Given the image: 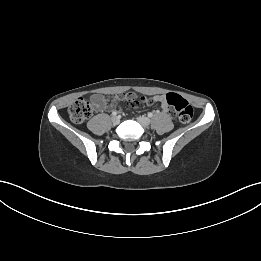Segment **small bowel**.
<instances>
[{
	"instance_id": "obj_1",
	"label": "small bowel",
	"mask_w": 261,
	"mask_h": 261,
	"mask_svg": "<svg viewBox=\"0 0 261 261\" xmlns=\"http://www.w3.org/2000/svg\"><path fill=\"white\" fill-rule=\"evenodd\" d=\"M125 100H126V102L130 103L131 106H133V107H138L140 105H145V104H148V106H150V107H155V106H157L158 103H160L161 110L163 112L168 113L170 111L169 107L165 101L164 95H156V96L147 97V95L144 93L136 94L134 92H128L125 95ZM117 101H118V98L115 97L113 99V102H117ZM91 104H92L93 108L99 112L103 111L107 108V102H106L105 98L99 94H95L91 97Z\"/></svg>"
}]
</instances>
